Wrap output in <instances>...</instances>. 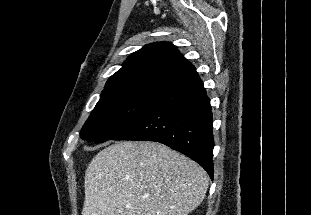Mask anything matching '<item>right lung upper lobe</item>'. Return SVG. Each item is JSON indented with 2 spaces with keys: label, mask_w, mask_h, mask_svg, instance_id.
Here are the masks:
<instances>
[{
  "label": "right lung upper lobe",
  "mask_w": 311,
  "mask_h": 215,
  "mask_svg": "<svg viewBox=\"0 0 311 215\" xmlns=\"http://www.w3.org/2000/svg\"><path fill=\"white\" fill-rule=\"evenodd\" d=\"M195 67L169 42L145 45L123 63L107 81L105 89L129 84H171ZM104 89V90H105Z\"/></svg>",
  "instance_id": "1"
}]
</instances>
